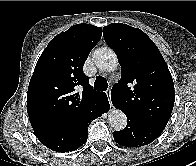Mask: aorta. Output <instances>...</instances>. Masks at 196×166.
<instances>
[{
	"label": "aorta",
	"mask_w": 196,
	"mask_h": 166,
	"mask_svg": "<svg viewBox=\"0 0 196 166\" xmlns=\"http://www.w3.org/2000/svg\"><path fill=\"white\" fill-rule=\"evenodd\" d=\"M93 61L100 70L111 72L118 67V58L109 47L97 49L93 54ZM110 126L117 131L123 130L127 125V117L120 109H113L108 114Z\"/></svg>",
	"instance_id": "762f6f07"
}]
</instances>
